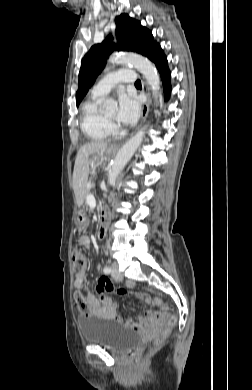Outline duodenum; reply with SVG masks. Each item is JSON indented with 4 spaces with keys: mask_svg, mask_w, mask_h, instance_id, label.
<instances>
[{
    "mask_svg": "<svg viewBox=\"0 0 252 390\" xmlns=\"http://www.w3.org/2000/svg\"><path fill=\"white\" fill-rule=\"evenodd\" d=\"M100 221H101V228L97 234V238L99 240H103L105 238L107 230H108V211H107V209L101 210Z\"/></svg>",
    "mask_w": 252,
    "mask_h": 390,
    "instance_id": "410a0bca",
    "label": "duodenum"
}]
</instances>
